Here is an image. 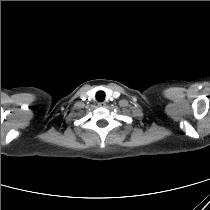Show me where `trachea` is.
Segmentation results:
<instances>
[{
	"mask_svg": "<svg viewBox=\"0 0 210 210\" xmlns=\"http://www.w3.org/2000/svg\"><path fill=\"white\" fill-rule=\"evenodd\" d=\"M104 99H105V93L103 91H98L96 93V100L98 102H102V101H104Z\"/></svg>",
	"mask_w": 210,
	"mask_h": 210,
	"instance_id": "3493384b",
	"label": "trachea"
}]
</instances>
